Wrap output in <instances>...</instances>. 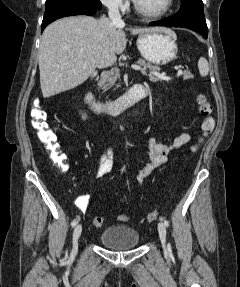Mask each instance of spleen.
<instances>
[{
    "label": "spleen",
    "instance_id": "3e777b00",
    "mask_svg": "<svg viewBox=\"0 0 240 287\" xmlns=\"http://www.w3.org/2000/svg\"><path fill=\"white\" fill-rule=\"evenodd\" d=\"M198 68L201 76L205 77L208 75L209 66L207 60L204 57H200V59L198 60Z\"/></svg>",
    "mask_w": 240,
    "mask_h": 287
}]
</instances>
